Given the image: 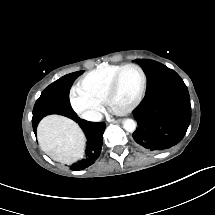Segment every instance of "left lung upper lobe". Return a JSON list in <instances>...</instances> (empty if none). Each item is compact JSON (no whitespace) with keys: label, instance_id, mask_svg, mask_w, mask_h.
<instances>
[{"label":"left lung upper lobe","instance_id":"1","mask_svg":"<svg viewBox=\"0 0 215 215\" xmlns=\"http://www.w3.org/2000/svg\"><path fill=\"white\" fill-rule=\"evenodd\" d=\"M147 77L146 94L134 112L138 128L133 138L140 147L161 151L177 145L191 120L188 89L180 76L151 60H137Z\"/></svg>","mask_w":215,"mask_h":215}]
</instances>
